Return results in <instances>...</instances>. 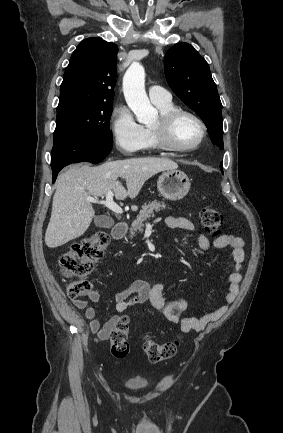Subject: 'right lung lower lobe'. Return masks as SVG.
Masks as SVG:
<instances>
[{
	"instance_id": "98d812e1",
	"label": "right lung lower lobe",
	"mask_w": 283,
	"mask_h": 433,
	"mask_svg": "<svg viewBox=\"0 0 283 433\" xmlns=\"http://www.w3.org/2000/svg\"><path fill=\"white\" fill-rule=\"evenodd\" d=\"M113 145L99 144L88 140L62 138L54 140L51 153L53 183L58 172L68 164L75 162H91L97 164L111 151Z\"/></svg>"
}]
</instances>
